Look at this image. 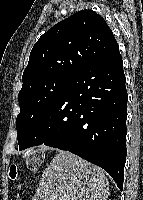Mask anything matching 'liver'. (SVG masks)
<instances>
[{
  "label": "liver",
  "instance_id": "obj_1",
  "mask_svg": "<svg viewBox=\"0 0 143 200\" xmlns=\"http://www.w3.org/2000/svg\"><path fill=\"white\" fill-rule=\"evenodd\" d=\"M104 171L84 159L60 151L45 168L32 200H107Z\"/></svg>",
  "mask_w": 143,
  "mask_h": 200
}]
</instances>
